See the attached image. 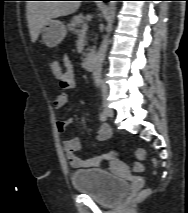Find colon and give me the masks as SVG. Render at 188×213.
<instances>
[{
  "mask_svg": "<svg viewBox=\"0 0 188 213\" xmlns=\"http://www.w3.org/2000/svg\"><path fill=\"white\" fill-rule=\"evenodd\" d=\"M49 67L56 76H59L61 74V64L58 59L50 60ZM145 155H146V152L143 148H138L136 150V156L138 158V161L135 162L133 165V170L135 172H142L144 170L142 161L144 160ZM147 194H148V191L144 190L140 193L139 197H144Z\"/></svg>",
  "mask_w": 188,
  "mask_h": 213,
  "instance_id": "obj_1",
  "label": "colon"
}]
</instances>
